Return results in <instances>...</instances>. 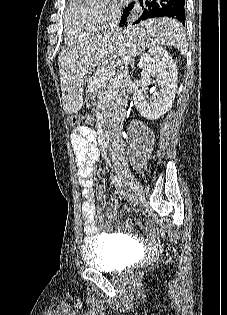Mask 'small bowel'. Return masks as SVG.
Here are the masks:
<instances>
[{"label": "small bowel", "mask_w": 227, "mask_h": 315, "mask_svg": "<svg viewBox=\"0 0 227 315\" xmlns=\"http://www.w3.org/2000/svg\"><path fill=\"white\" fill-rule=\"evenodd\" d=\"M70 143L75 156L77 177L85 199L82 203L83 230L87 235H95L100 230L97 223V211L93 202V170L100 157L98 139L91 128L81 126L71 133ZM119 208V201L113 200L105 213L106 217L108 219L115 218Z\"/></svg>", "instance_id": "small-bowel-1"}]
</instances>
